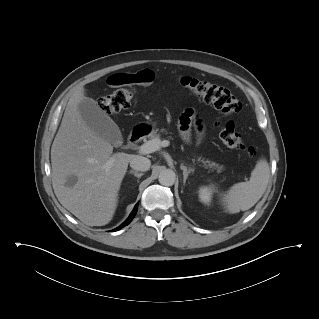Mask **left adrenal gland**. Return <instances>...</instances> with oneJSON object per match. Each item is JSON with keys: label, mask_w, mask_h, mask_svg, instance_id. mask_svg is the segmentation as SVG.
I'll return each mask as SVG.
<instances>
[{"label": "left adrenal gland", "mask_w": 319, "mask_h": 319, "mask_svg": "<svg viewBox=\"0 0 319 319\" xmlns=\"http://www.w3.org/2000/svg\"><path fill=\"white\" fill-rule=\"evenodd\" d=\"M181 170H183V183L185 184L186 183V180L188 178V175L191 173V172H194V169L193 168H187L186 166H184L183 164H181L180 166Z\"/></svg>", "instance_id": "a2214340"}]
</instances>
